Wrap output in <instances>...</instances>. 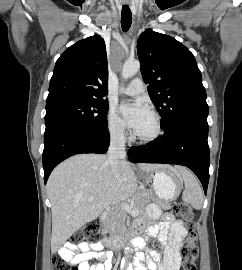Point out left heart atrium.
<instances>
[{
	"mask_svg": "<svg viewBox=\"0 0 242 270\" xmlns=\"http://www.w3.org/2000/svg\"><path fill=\"white\" fill-rule=\"evenodd\" d=\"M119 111L122 114L126 124L135 132L138 131L151 116L149 106L142 100L123 103L120 105Z\"/></svg>",
	"mask_w": 242,
	"mask_h": 270,
	"instance_id": "1",
	"label": "left heart atrium"
}]
</instances>
